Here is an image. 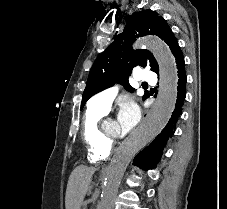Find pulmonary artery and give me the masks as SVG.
Returning <instances> with one entry per match:
<instances>
[{
	"instance_id": "obj_1",
	"label": "pulmonary artery",
	"mask_w": 227,
	"mask_h": 209,
	"mask_svg": "<svg viewBox=\"0 0 227 209\" xmlns=\"http://www.w3.org/2000/svg\"><path fill=\"white\" fill-rule=\"evenodd\" d=\"M133 75H139V70H133ZM156 78V73H152L151 70L142 71V83H153ZM112 90V91H111ZM117 91V85H114L112 88H102V91H98V95H91V100H87V105H95L98 108L108 109L109 105L113 99L112 96H115Z\"/></svg>"
}]
</instances>
